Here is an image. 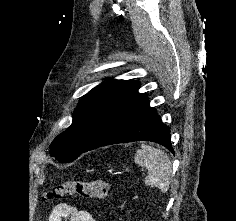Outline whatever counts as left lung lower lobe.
<instances>
[{
	"mask_svg": "<svg viewBox=\"0 0 236 221\" xmlns=\"http://www.w3.org/2000/svg\"><path fill=\"white\" fill-rule=\"evenodd\" d=\"M140 140L159 143L174 153L169 128L149 106L147 96L135 91L105 119L81 153Z\"/></svg>",
	"mask_w": 236,
	"mask_h": 221,
	"instance_id": "0a47b994",
	"label": "left lung lower lobe"
}]
</instances>
